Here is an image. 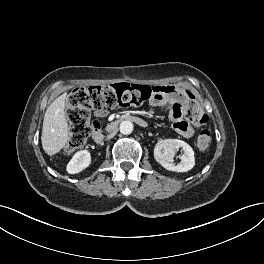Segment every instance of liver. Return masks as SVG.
<instances>
[{
	"label": "liver",
	"mask_w": 264,
	"mask_h": 264,
	"mask_svg": "<svg viewBox=\"0 0 264 264\" xmlns=\"http://www.w3.org/2000/svg\"><path fill=\"white\" fill-rule=\"evenodd\" d=\"M67 93L56 98L47 108L43 120L41 142L43 150L50 156L64 148L68 141V123L65 115Z\"/></svg>",
	"instance_id": "6515ba94"
}]
</instances>
